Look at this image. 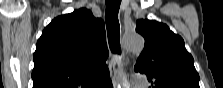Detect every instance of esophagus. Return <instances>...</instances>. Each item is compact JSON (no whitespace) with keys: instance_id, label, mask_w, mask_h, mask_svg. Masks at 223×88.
Listing matches in <instances>:
<instances>
[{"instance_id":"obj_1","label":"esophagus","mask_w":223,"mask_h":88,"mask_svg":"<svg viewBox=\"0 0 223 88\" xmlns=\"http://www.w3.org/2000/svg\"><path fill=\"white\" fill-rule=\"evenodd\" d=\"M110 69V77L112 80V84L114 88H117L119 85L120 79V70H121V62L120 58L116 55H113L109 64Z\"/></svg>"}]
</instances>
